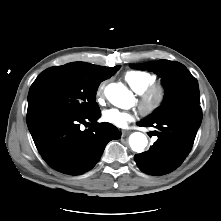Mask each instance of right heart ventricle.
<instances>
[{
  "instance_id": "1",
  "label": "right heart ventricle",
  "mask_w": 221,
  "mask_h": 221,
  "mask_svg": "<svg viewBox=\"0 0 221 221\" xmlns=\"http://www.w3.org/2000/svg\"><path fill=\"white\" fill-rule=\"evenodd\" d=\"M155 79L154 74L142 70H130L124 74V80L136 93H141L154 83Z\"/></svg>"
}]
</instances>
